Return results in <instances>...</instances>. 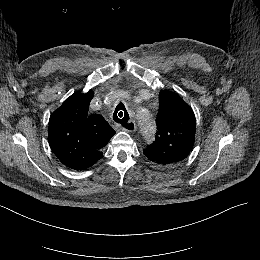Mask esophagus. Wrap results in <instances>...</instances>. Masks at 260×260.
<instances>
[{
  "label": "esophagus",
  "mask_w": 260,
  "mask_h": 260,
  "mask_svg": "<svg viewBox=\"0 0 260 260\" xmlns=\"http://www.w3.org/2000/svg\"><path fill=\"white\" fill-rule=\"evenodd\" d=\"M120 129L122 131H126V132H135L136 131V124L134 121H129L126 125H122L120 126Z\"/></svg>",
  "instance_id": "34e87169"
}]
</instances>
